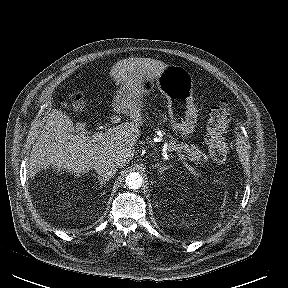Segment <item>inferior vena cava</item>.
I'll return each instance as SVG.
<instances>
[{"label": "inferior vena cava", "instance_id": "inferior-vena-cava-1", "mask_svg": "<svg viewBox=\"0 0 288 288\" xmlns=\"http://www.w3.org/2000/svg\"><path fill=\"white\" fill-rule=\"evenodd\" d=\"M118 163L111 158H104L95 163L94 169L104 179L111 178L116 174Z\"/></svg>", "mask_w": 288, "mask_h": 288}]
</instances>
